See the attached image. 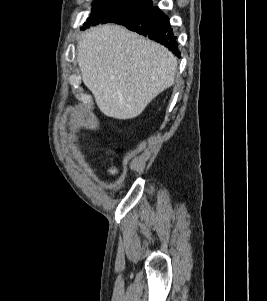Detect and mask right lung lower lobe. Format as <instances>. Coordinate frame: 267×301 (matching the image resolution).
I'll return each instance as SVG.
<instances>
[{
  "label": "right lung lower lobe",
  "mask_w": 267,
  "mask_h": 301,
  "mask_svg": "<svg viewBox=\"0 0 267 301\" xmlns=\"http://www.w3.org/2000/svg\"><path fill=\"white\" fill-rule=\"evenodd\" d=\"M115 23L126 26L128 29L141 35L148 36L169 48L180 57L177 39L169 23V18L158 7H149L134 14L126 15Z\"/></svg>",
  "instance_id": "obj_1"
}]
</instances>
